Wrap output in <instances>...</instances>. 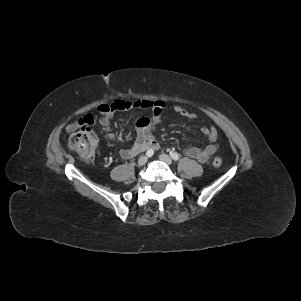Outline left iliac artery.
Returning <instances> with one entry per match:
<instances>
[{
    "mask_svg": "<svg viewBox=\"0 0 301 301\" xmlns=\"http://www.w3.org/2000/svg\"><path fill=\"white\" fill-rule=\"evenodd\" d=\"M170 156L172 157V159L174 161H178L179 160V154L177 152H170Z\"/></svg>",
    "mask_w": 301,
    "mask_h": 301,
    "instance_id": "1",
    "label": "left iliac artery"
}]
</instances>
